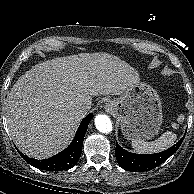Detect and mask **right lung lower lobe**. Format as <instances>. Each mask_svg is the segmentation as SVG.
Returning <instances> with one entry per match:
<instances>
[{"instance_id":"98d812e1","label":"right lung lower lobe","mask_w":194,"mask_h":194,"mask_svg":"<svg viewBox=\"0 0 194 194\" xmlns=\"http://www.w3.org/2000/svg\"><path fill=\"white\" fill-rule=\"evenodd\" d=\"M93 114H88L81 122L72 143L63 151L45 160L32 159L20 152L22 158L30 165L46 171H62L72 168L79 160L83 139Z\"/></svg>"}]
</instances>
